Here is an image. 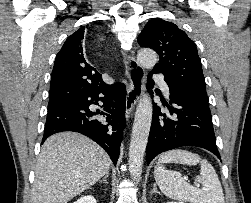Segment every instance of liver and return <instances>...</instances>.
<instances>
[{"instance_id": "liver-1", "label": "liver", "mask_w": 251, "mask_h": 203, "mask_svg": "<svg viewBox=\"0 0 251 203\" xmlns=\"http://www.w3.org/2000/svg\"><path fill=\"white\" fill-rule=\"evenodd\" d=\"M107 153L89 138L74 132L50 136L35 167L33 203H67L109 172Z\"/></svg>"}]
</instances>
